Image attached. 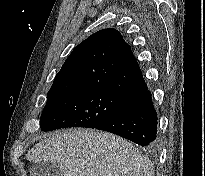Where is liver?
Here are the masks:
<instances>
[{
  "label": "liver",
  "mask_w": 205,
  "mask_h": 176,
  "mask_svg": "<svg viewBox=\"0 0 205 176\" xmlns=\"http://www.w3.org/2000/svg\"><path fill=\"white\" fill-rule=\"evenodd\" d=\"M33 163L55 164L61 176H154L151 161L117 135L69 129L47 135L28 151Z\"/></svg>",
  "instance_id": "6515ba94"
}]
</instances>
